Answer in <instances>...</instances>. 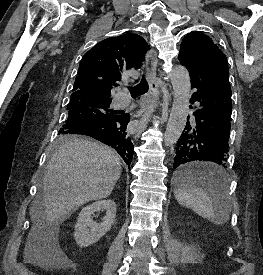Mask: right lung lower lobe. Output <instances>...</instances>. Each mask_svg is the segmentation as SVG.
Listing matches in <instances>:
<instances>
[{
    "instance_id": "right-lung-lower-lobe-1",
    "label": "right lung lower lobe",
    "mask_w": 263,
    "mask_h": 275,
    "mask_svg": "<svg viewBox=\"0 0 263 275\" xmlns=\"http://www.w3.org/2000/svg\"><path fill=\"white\" fill-rule=\"evenodd\" d=\"M129 121V114H118L103 120L79 123L65 132L66 134L90 136L111 146L120 154L126 164L130 165L134 146L126 132Z\"/></svg>"
}]
</instances>
